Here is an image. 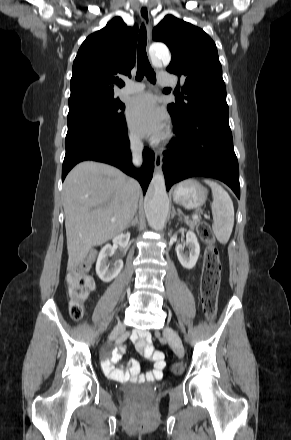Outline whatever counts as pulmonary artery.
I'll return each mask as SVG.
<instances>
[{
  "label": "pulmonary artery",
  "instance_id": "e3ab8cb5",
  "mask_svg": "<svg viewBox=\"0 0 291 440\" xmlns=\"http://www.w3.org/2000/svg\"><path fill=\"white\" fill-rule=\"evenodd\" d=\"M174 75L170 73H162L158 76V83L164 86L173 84ZM144 89V84L140 81H130L121 90V94L132 95L141 92Z\"/></svg>",
  "mask_w": 291,
  "mask_h": 440
}]
</instances>
